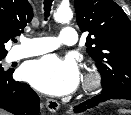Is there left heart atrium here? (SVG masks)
I'll return each instance as SVG.
<instances>
[{"label":"left heart atrium","instance_id":"1","mask_svg":"<svg viewBox=\"0 0 131 115\" xmlns=\"http://www.w3.org/2000/svg\"><path fill=\"white\" fill-rule=\"evenodd\" d=\"M22 75L33 87L52 95L72 92L79 81L77 65L55 55L29 62L23 67Z\"/></svg>","mask_w":131,"mask_h":115}]
</instances>
